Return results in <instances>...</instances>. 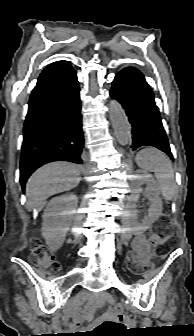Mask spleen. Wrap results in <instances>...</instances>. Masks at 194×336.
Masks as SVG:
<instances>
[{
    "label": "spleen",
    "mask_w": 194,
    "mask_h": 336,
    "mask_svg": "<svg viewBox=\"0 0 194 336\" xmlns=\"http://www.w3.org/2000/svg\"><path fill=\"white\" fill-rule=\"evenodd\" d=\"M137 165L149 172H154L159 190L166 200H172L177 193L172 163L160 150L144 148L136 155Z\"/></svg>",
    "instance_id": "obj_1"
}]
</instances>
